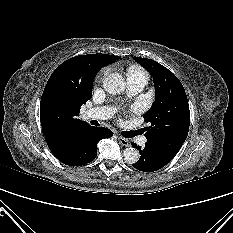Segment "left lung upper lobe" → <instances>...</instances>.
Masks as SVG:
<instances>
[{"label":"left lung upper lobe","instance_id":"left-lung-upper-lobe-1","mask_svg":"<svg viewBox=\"0 0 233 233\" xmlns=\"http://www.w3.org/2000/svg\"><path fill=\"white\" fill-rule=\"evenodd\" d=\"M153 77L155 101L144 115L147 144L173 158L187 138L190 125L189 104L179 79L158 62L134 57Z\"/></svg>","mask_w":233,"mask_h":233}]
</instances>
